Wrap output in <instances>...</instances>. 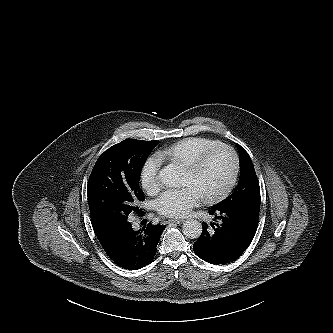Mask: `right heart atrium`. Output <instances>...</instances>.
<instances>
[{
	"instance_id": "d8ad5b80",
	"label": "right heart atrium",
	"mask_w": 333,
	"mask_h": 333,
	"mask_svg": "<svg viewBox=\"0 0 333 333\" xmlns=\"http://www.w3.org/2000/svg\"><path fill=\"white\" fill-rule=\"evenodd\" d=\"M162 164V157L159 154H152L141 166L139 181L141 187L150 195L156 194L161 188L159 173Z\"/></svg>"
}]
</instances>
